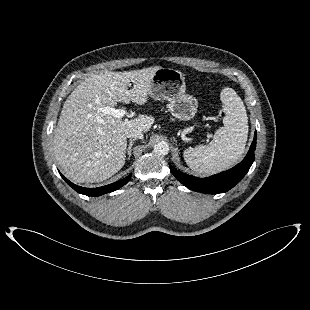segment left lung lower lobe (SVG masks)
Instances as JSON below:
<instances>
[{"label":"left lung lower lobe","mask_w":310,"mask_h":310,"mask_svg":"<svg viewBox=\"0 0 310 310\" xmlns=\"http://www.w3.org/2000/svg\"><path fill=\"white\" fill-rule=\"evenodd\" d=\"M256 132L254 134V140L250 146V149L241 163L236 165L230 170L225 172L207 177V178H197L187 174H184L176 170L172 165L170 170L173 175L187 188L202 192L206 194H217L224 193L233 188L241 179L246 175L250 169L255 155L254 150L256 148Z\"/></svg>","instance_id":"0a47b994"}]
</instances>
